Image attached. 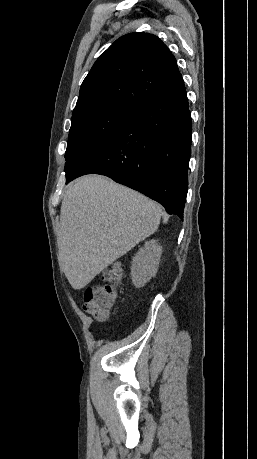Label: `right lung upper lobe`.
<instances>
[{
    "label": "right lung upper lobe",
    "mask_w": 257,
    "mask_h": 459,
    "mask_svg": "<svg viewBox=\"0 0 257 459\" xmlns=\"http://www.w3.org/2000/svg\"><path fill=\"white\" fill-rule=\"evenodd\" d=\"M182 79L168 47L135 32L116 40L84 79L72 119L108 106L138 108Z\"/></svg>",
    "instance_id": "1"
}]
</instances>
